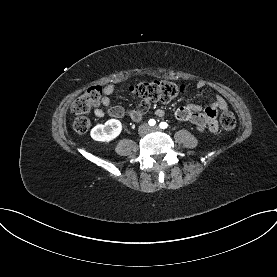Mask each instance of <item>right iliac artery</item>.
I'll return each instance as SVG.
<instances>
[{"mask_svg":"<svg viewBox=\"0 0 277 277\" xmlns=\"http://www.w3.org/2000/svg\"><path fill=\"white\" fill-rule=\"evenodd\" d=\"M148 123L150 126H154L156 122L154 119H150Z\"/></svg>","mask_w":277,"mask_h":277,"instance_id":"82829eb1","label":"right iliac artery"}]
</instances>
